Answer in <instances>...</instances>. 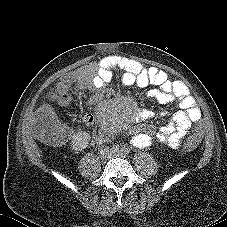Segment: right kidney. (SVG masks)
Wrapping results in <instances>:
<instances>
[{"label": "right kidney", "instance_id": "ca27d5eb", "mask_svg": "<svg viewBox=\"0 0 227 227\" xmlns=\"http://www.w3.org/2000/svg\"><path fill=\"white\" fill-rule=\"evenodd\" d=\"M90 140V135L86 131H79L72 135L71 148L75 153L85 149Z\"/></svg>", "mask_w": 227, "mask_h": 227}]
</instances>
